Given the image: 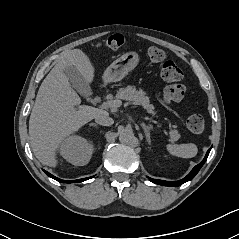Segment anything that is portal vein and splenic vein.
I'll return each instance as SVG.
<instances>
[{
  "label": "portal vein and splenic vein",
  "instance_id": "portal-vein-and-splenic-vein-1",
  "mask_svg": "<svg viewBox=\"0 0 239 239\" xmlns=\"http://www.w3.org/2000/svg\"><path fill=\"white\" fill-rule=\"evenodd\" d=\"M121 101L120 100H110L103 102L102 106L103 107H109V108H117L121 106Z\"/></svg>",
  "mask_w": 239,
  "mask_h": 239
}]
</instances>
